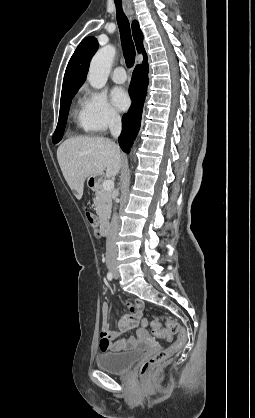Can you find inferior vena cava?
Returning a JSON list of instances; mask_svg holds the SVG:
<instances>
[{
	"instance_id": "inferior-vena-cava-1",
	"label": "inferior vena cava",
	"mask_w": 255,
	"mask_h": 418,
	"mask_svg": "<svg viewBox=\"0 0 255 418\" xmlns=\"http://www.w3.org/2000/svg\"><path fill=\"white\" fill-rule=\"evenodd\" d=\"M109 129L114 138H118L121 134V118L117 113H110L108 118ZM118 218L117 214L114 213L109 232L106 240V261L111 262L115 261L117 258V246H116V237L118 233Z\"/></svg>"
}]
</instances>
